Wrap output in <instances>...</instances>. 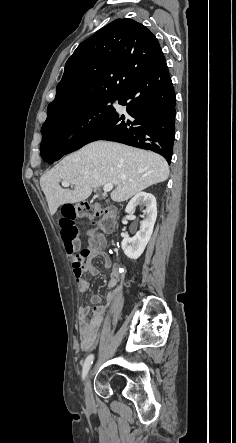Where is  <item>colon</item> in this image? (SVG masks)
Masks as SVG:
<instances>
[{
    "label": "colon",
    "mask_w": 236,
    "mask_h": 443,
    "mask_svg": "<svg viewBox=\"0 0 236 443\" xmlns=\"http://www.w3.org/2000/svg\"><path fill=\"white\" fill-rule=\"evenodd\" d=\"M99 218L101 230L107 231L113 227L114 213L110 208L91 205L86 202L80 204H65L59 212V225L68 257L74 269H82L84 258L89 255V249L81 247V231L76 225V219Z\"/></svg>",
    "instance_id": "1"
}]
</instances>
